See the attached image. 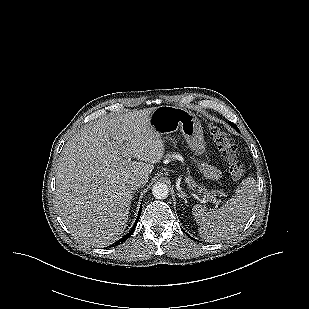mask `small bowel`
Returning a JSON list of instances; mask_svg holds the SVG:
<instances>
[{"label": "small bowel", "instance_id": "small-bowel-1", "mask_svg": "<svg viewBox=\"0 0 309 309\" xmlns=\"http://www.w3.org/2000/svg\"><path fill=\"white\" fill-rule=\"evenodd\" d=\"M202 168H203V171H204L205 175H206L208 178H210V179H212V180H217V179L219 178L220 173H219V171H218L216 168H214L213 166L204 164V165L202 166Z\"/></svg>", "mask_w": 309, "mask_h": 309}]
</instances>
